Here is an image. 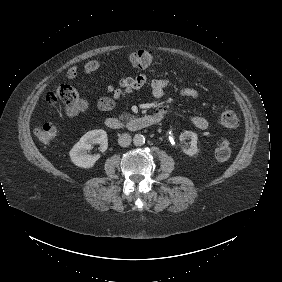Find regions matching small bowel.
<instances>
[{"instance_id": "obj_1", "label": "small bowel", "mask_w": 282, "mask_h": 282, "mask_svg": "<svg viewBox=\"0 0 282 282\" xmlns=\"http://www.w3.org/2000/svg\"><path fill=\"white\" fill-rule=\"evenodd\" d=\"M100 66L101 65L99 61L90 60L84 65L83 71L86 74H92L99 70ZM78 73V67L72 66L67 71V77L69 79H75L78 76ZM169 85L170 82L168 79H151L145 74L124 77L119 79L116 84H111L107 87V91L110 94L109 96L99 98L94 102V104L87 100L80 99L74 104L69 105L66 109V112L68 116L74 117L82 112L87 111L92 106H95L102 111H109L115 108L119 101L128 98L136 90L143 87H147L155 99L161 100L164 98L166 89L169 87ZM179 94L183 98H189L193 100H197L200 97L199 92L191 87L182 88ZM153 114L161 115L162 118H164L165 109L163 107H158ZM186 119L198 129L206 130L209 127V121L203 116L187 115Z\"/></svg>"}]
</instances>
